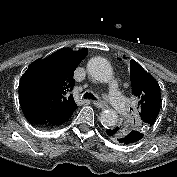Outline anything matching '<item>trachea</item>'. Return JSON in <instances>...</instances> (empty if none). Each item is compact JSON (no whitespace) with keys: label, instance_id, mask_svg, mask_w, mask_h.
Segmentation results:
<instances>
[{"label":"trachea","instance_id":"3493384b","mask_svg":"<svg viewBox=\"0 0 177 177\" xmlns=\"http://www.w3.org/2000/svg\"><path fill=\"white\" fill-rule=\"evenodd\" d=\"M83 98H85V99L97 100V98H96L92 93H89V92H86V93L83 95Z\"/></svg>","mask_w":177,"mask_h":177}]
</instances>
